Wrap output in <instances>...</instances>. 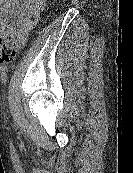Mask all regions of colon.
Instances as JSON below:
<instances>
[{
	"instance_id": "1",
	"label": "colon",
	"mask_w": 133,
	"mask_h": 173,
	"mask_svg": "<svg viewBox=\"0 0 133 173\" xmlns=\"http://www.w3.org/2000/svg\"><path fill=\"white\" fill-rule=\"evenodd\" d=\"M5 26H0V64L11 63L16 57V39L5 35Z\"/></svg>"
}]
</instances>
